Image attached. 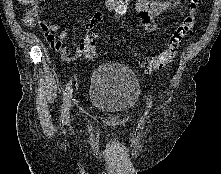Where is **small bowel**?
I'll return each mask as SVG.
<instances>
[{
    "mask_svg": "<svg viewBox=\"0 0 221 174\" xmlns=\"http://www.w3.org/2000/svg\"><path fill=\"white\" fill-rule=\"evenodd\" d=\"M180 2L181 0H135L134 10L140 19L143 29L149 33H153L157 29L155 18L166 11L176 8ZM36 15L40 21L45 39L59 52L62 60L72 63L82 56L80 48L76 50L74 55L68 53L63 44V41L68 37V31L66 29L59 24L44 19L40 10L36 11ZM103 16L101 10H96L86 23L85 30H92L99 25L103 20Z\"/></svg>",
    "mask_w": 221,
    "mask_h": 174,
    "instance_id": "c3829d8e",
    "label": "small bowel"
}]
</instances>
